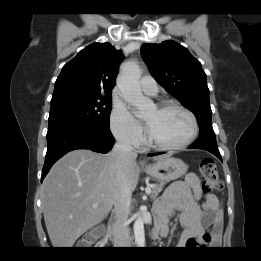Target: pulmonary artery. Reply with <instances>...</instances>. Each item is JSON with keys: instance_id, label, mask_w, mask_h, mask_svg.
<instances>
[{"instance_id": "1", "label": "pulmonary artery", "mask_w": 261, "mask_h": 261, "mask_svg": "<svg viewBox=\"0 0 261 261\" xmlns=\"http://www.w3.org/2000/svg\"><path fill=\"white\" fill-rule=\"evenodd\" d=\"M141 90L148 95L155 96L158 92V85L155 79L151 76H144L140 79Z\"/></svg>"}]
</instances>
